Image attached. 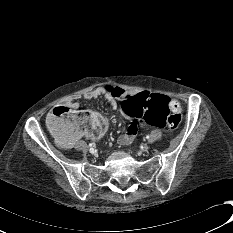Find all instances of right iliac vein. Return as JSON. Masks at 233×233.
<instances>
[{
    "label": "right iliac vein",
    "mask_w": 233,
    "mask_h": 233,
    "mask_svg": "<svg viewBox=\"0 0 233 233\" xmlns=\"http://www.w3.org/2000/svg\"><path fill=\"white\" fill-rule=\"evenodd\" d=\"M91 154H95V150H89Z\"/></svg>",
    "instance_id": "1"
}]
</instances>
